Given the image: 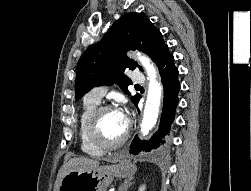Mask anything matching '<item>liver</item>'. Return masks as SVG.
<instances>
[{
    "instance_id": "1",
    "label": "liver",
    "mask_w": 251,
    "mask_h": 191,
    "mask_svg": "<svg viewBox=\"0 0 251 191\" xmlns=\"http://www.w3.org/2000/svg\"><path fill=\"white\" fill-rule=\"evenodd\" d=\"M98 165L99 159H90V157H71L69 161H64V165L60 167L57 173L53 191H59V185L65 173H70V171H81V173L83 171H92Z\"/></svg>"
}]
</instances>
